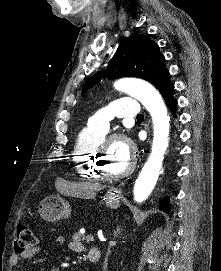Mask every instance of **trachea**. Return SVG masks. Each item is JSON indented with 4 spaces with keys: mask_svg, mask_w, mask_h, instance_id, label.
<instances>
[{
    "mask_svg": "<svg viewBox=\"0 0 221 271\" xmlns=\"http://www.w3.org/2000/svg\"><path fill=\"white\" fill-rule=\"evenodd\" d=\"M136 118L137 120H144V116L141 113H139Z\"/></svg>",
    "mask_w": 221,
    "mask_h": 271,
    "instance_id": "trachea-1",
    "label": "trachea"
}]
</instances>
